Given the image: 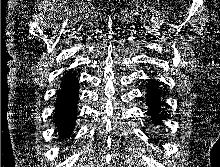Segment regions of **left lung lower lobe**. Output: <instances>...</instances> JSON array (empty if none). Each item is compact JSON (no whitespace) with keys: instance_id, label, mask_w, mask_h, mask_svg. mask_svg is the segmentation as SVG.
I'll return each mask as SVG.
<instances>
[{"instance_id":"left-lung-lower-lobe-1","label":"left lung lower lobe","mask_w":220,"mask_h":167,"mask_svg":"<svg viewBox=\"0 0 220 167\" xmlns=\"http://www.w3.org/2000/svg\"><path fill=\"white\" fill-rule=\"evenodd\" d=\"M146 101L149 105V115L151 116L153 123L158 124L160 119H162L161 101L160 92L154 82L149 85Z\"/></svg>"}]
</instances>
